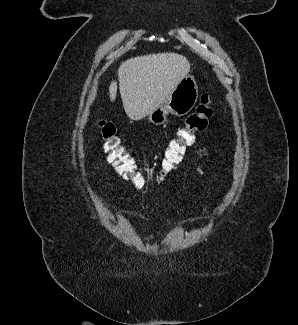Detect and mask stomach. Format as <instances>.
Listing matches in <instances>:
<instances>
[{
	"label": "stomach",
	"mask_w": 298,
	"mask_h": 325,
	"mask_svg": "<svg viewBox=\"0 0 298 325\" xmlns=\"http://www.w3.org/2000/svg\"><path fill=\"white\" fill-rule=\"evenodd\" d=\"M198 84L193 74H186L181 78L171 94H168L164 104L157 106L153 112L148 114V120L153 124H163L167 114L174 116H183L194 108L198 100Z\"/></svg>",
	"instance_id": "obj_1"
}]
</instances>
